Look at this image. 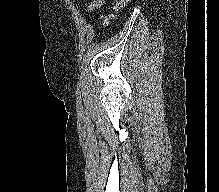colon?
<instances>
[{"mask_svg":"<svg viewBox=\"0 0 219 192\" xmlns=\"http://www.w3.org/2000/svg\"><path fill=\"white\" fill-rule=\"evenodd\" d=\"M130 0H118V4L114 7L113 12L109 15H104L102 17L103 25H107L110 19L116 18L117 13L129 2Z\"/></svg>","mask_w":219,"mask_h":192,"instance_id":"colon-1","label":"colon"}]
</instances>
